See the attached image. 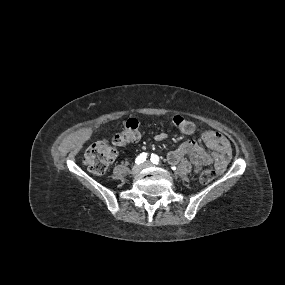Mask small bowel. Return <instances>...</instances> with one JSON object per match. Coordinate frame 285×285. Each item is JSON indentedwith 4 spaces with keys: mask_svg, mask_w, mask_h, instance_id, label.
I'll return each mask as SVG.
<instances>
[{
    "mask_svg": "<svg viewBox=\"0 0 285 285\" xmlns=\"http://www.w3.org/2000/svg\"><path fill=\"white\" fill-rule=\"evenodd\" d=\"M166 138L167 134L164 132H160L153 137L155 141H163ZM202 139L206 146L212 150L211 153L207 152L197 141L188 140L168 153V161L171 164H177L184 156H189L190 161L197 169L205 165L214 164L219 173L224 172L232 155L228 139L214 131L204 132Z\"/></svg>",
    "mask_w": 285,
    "mask_h": 285,
    "instance_id": "obj_1",
    "label": "small bowel"
}]
</instances>
